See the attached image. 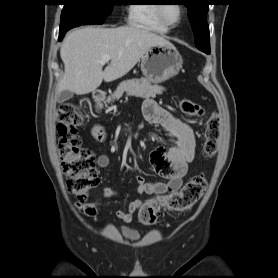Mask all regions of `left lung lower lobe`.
Masks as SVG:
<instances>
[{
    "label": "left lung lower lobe",
    "instance_id": "1",
    "mask_svg": "<svg viewBox=\"0 0 278 278\" xmlns=\"http://www.w3.org/2000/svg\"><path fill=\"white\" fill-rule=\"evenodd\" d=\"M205 53H206V54H210V52H208V51H206Z\"/></svg>",
    "mask_w": 278,
    "mask_h": 278
}]
</instances>
